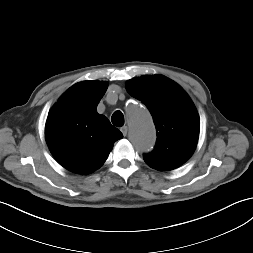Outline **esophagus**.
Here are the masks:
<instances>
[{
	"mask_svg": "<svg viewBox=\"0 0 253 253\" xmlns=\"http://www.w3.org/2000/svg\"><path fill=\"white\" fill-rule=\"evenodd\" d=\"M121 132L123 133V135L124 136H126L127 135V132H128V127L127 126H123V127H121Z\"/></svg>",
	"mask_w": 253,
	"mask_h": 253,
	"instance_id": "34e87169",
	"label": "esophagus"
}]
</instances>
